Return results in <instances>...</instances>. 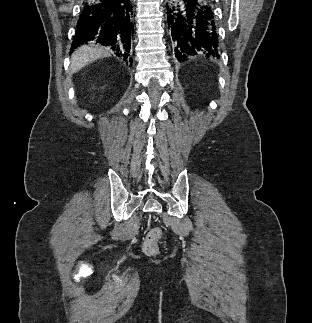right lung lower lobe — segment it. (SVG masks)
I'll list each match as a JSON object with an SVG mask.
<instances>
[{
  "instance_id": "right-lung-lower-lobe-1",
  "label": "right lung lower lobe",
  "mask_w": 312,
  "mask_h": 323,
  "mask_svg": "<svg viewBox=\"0 0 312 323\" xmlns=\"http://www.w3.org/2000/svg\"><path fill=\"white\" fill-rule=\"evenodd\" d=\"M130 0H84L71 52L88 42L109 46L117 56L130 57L134 26Z\"/></svg>"
}]
</instances>
